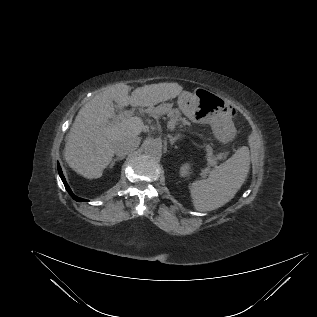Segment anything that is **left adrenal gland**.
<instances>
[{"mask_svg":"<svg viewBox=\"0 0 317 317\" xmlns=\"http://www.w3.org/2000/svg\"><path fill=\"white\" fill-rule=\"evenodd\" d=\"M179 139V137L178 136H175V137H172V136H170V143H171V145H173L177 140ZM177 147V146H176Z\"/></svg>","mask_w":317,"mask_h":317,"instance_id":"a2214340","label":"left adrenal gland"}]
</instances>
